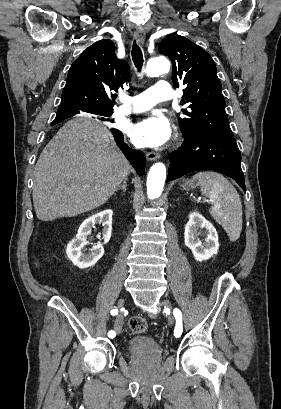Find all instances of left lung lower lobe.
Segmentation results:
<instances>
[{
  "instance_id": "obj_1",
  "label": "left lung lower lobe",
  "mask_w": 281,
  "mask_h": 409,
  "mask_svg": "<svg viewBox=\"0 0 281 409\" xmlns=\"http://www.w3.org/2000/svg\"><path fill=\"white\" fill-rule=\"evenodd\" d=\"M185 139V144L170 155L169 181L197 170H215L236 180L246 192L234 137L199 132Z\"/></svg>"
}]
</instances>
